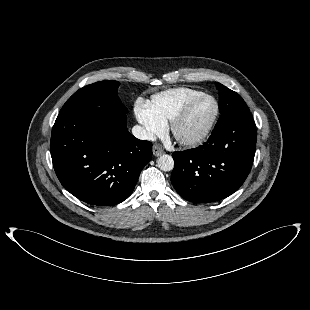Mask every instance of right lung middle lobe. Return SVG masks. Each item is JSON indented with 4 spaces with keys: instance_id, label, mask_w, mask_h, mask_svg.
<instances>
[{
    "instance_id": "obj_1",
    "label": "right lung middle lobe",
    "mask_w": 310,
    "mask_h": 310,
    "mask_svg": "<svg viewBox=\"0 0 310 310\" xmlns=\"http://www.w3.org/2000/svg\"><path fill=\"white\" fill-rule=\"evenodd\" d=\"M119 84L117 81H100L87 85L75 92L60 112L83 105H101L126 113L127 108L117 94Z\"/></svg>"
}]
</instances>
